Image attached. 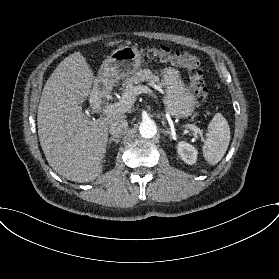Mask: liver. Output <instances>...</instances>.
Returning <instances> with one entry per match:
<instances>
[{"instance_id": "1", "label": "liver", "mask_w": 279, "mask_h": 279, "mask_svg": "<svg viewBox=\"0 0 279 279\" xmlns=\"http://www.w3.org/2000/svg\"><path fill=\"white\" fill-rule=\"evenodd\" d=\"M123 40L109 41L114 47ZM107 84L96 77L81 52L66 57L46 81L37 113L39 142L49 166L75 183L95 181L103 173L109 126L126 115L115 113L89 121L81 105Z\"/></svg>"}]
</instances>
